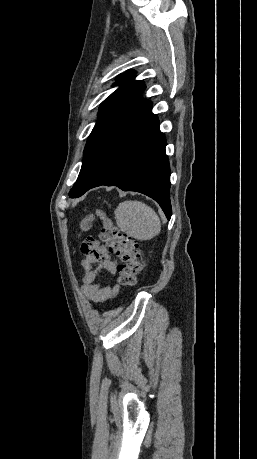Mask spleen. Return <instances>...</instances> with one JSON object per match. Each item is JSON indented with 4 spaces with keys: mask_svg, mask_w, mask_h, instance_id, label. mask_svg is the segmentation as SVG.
Returning <instances> with one entry per match:
<instances>
[{
    "mask_svg": "<svg viewBox=\"0 0 257 459\" xmlns=\"http://www.w3.org/2000/svg\"><path fill=\"white\" fill-rule=\"evenodd\" d=\"M115 220L122 232L141 241L154 238L161 230L156 212L137 200L121 202L115 210Z\"/></svg>",
    "mask_w": 257,
    "mask_h": 459,
    "instance_id": "3e777b00",
    "label": "spleen"
}]
</instances>
